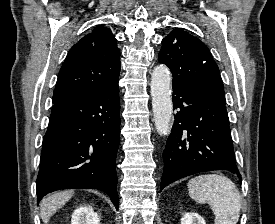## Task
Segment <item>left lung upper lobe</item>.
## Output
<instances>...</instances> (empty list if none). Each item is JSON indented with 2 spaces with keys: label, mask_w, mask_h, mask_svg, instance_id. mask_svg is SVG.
Returning a JSON list of instances; mask_svg holds the SVG:
<instances>
[{
  "label": "left lung upper lobe",
  "mask_w": 275,
  "mask_h": 224,
  "mask_svg": "<svg viewBox=\"0 0 275 224\" xmlns=\"http://www.w3.org/2000/svg\"><path fill=\"white\" fill-rule=\"evenodd\" d=\"M158 59L173 74V86L197 89L226 102L218 66L198 38L183 29L173 30L162 40Z\"/></svg>",
  "instance_id": "left-lung-upper-lobe-1"
}]
</instances>
